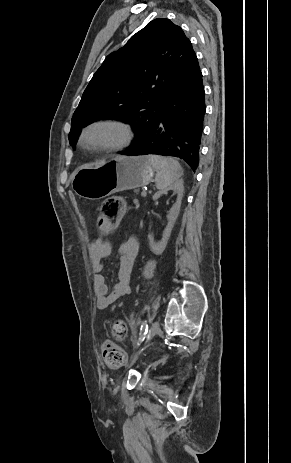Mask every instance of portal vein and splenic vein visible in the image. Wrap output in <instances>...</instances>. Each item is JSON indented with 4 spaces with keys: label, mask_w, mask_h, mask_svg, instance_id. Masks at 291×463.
Segmentation results:
<instances>
[{
    "label": "portal vein and splenic vein",
    "mask_w": 291,
    "mask_h": 463,
    "mask_svg": "<svg viewBox=\"0 0 291 463\" xmlns=\"http://www.w3.org/2000/svg\"><path fill=\"white\" fill-rule=\"evenodd\" d=\"M141 195L145 197L147 195L146 191H142Z\"/></svg>",
    "instance_id": "1"
}]
</instances>
